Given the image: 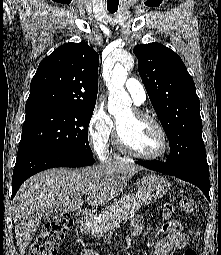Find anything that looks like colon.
I'll use <instances>...</instances> for the list:
<instances>
[{
    "label": "colon",
    "mask_w": 221,
    "mask_h": 255,
    "mask_svg": "<svg viewBox=\"0 0 221 255\" xmlns=\"http://www.w3.org/2000/svg\"><path fill=\"white\" fill-rule=\"evenodd\" d=\"M194 206L195 201L190 196H185L180 200V207L185 212H192ZM173 212L172 205H164L162 210L164 218H169ZM71 225L72 220L67 214H59L49 219L32 242L29 255H55L56 244L63 238ZM183 255H196V252L187 248L184 250Z\"/></svg>",
    "instance_id": "5ec220e1"
}]
</instances>
